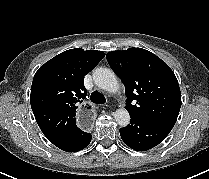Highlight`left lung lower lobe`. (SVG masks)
<instances>
[{
    "instance_id": "obj_1",
    "label": "left lung lower lobe",
    "mask_w": 209,
    "mask_h": 179,
    "mask_svg": "<svg viewBox=\"0 0 209 179\" xmlns=\"http://www.w3.org/2000/svg\"><path fill=\"white\" fill-rule=\"evenodd\" d=\"M130 124L120 128L122 140L137 151L149 150L162 142L173 127L130 114Z\"/></svg>"
}]
</instances>
